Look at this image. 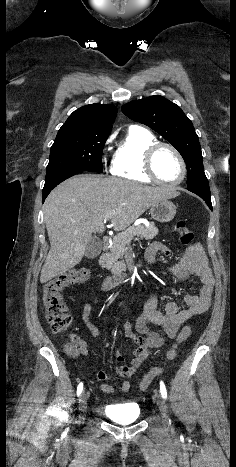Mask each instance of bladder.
<instances>
[{"label":"bladder","instance_id":"31cf9c89","mask_svg":"<svg viewBox=\"0 0 236 467\" xmlns=\"http://www.w3.org/2000/svg\"><path fill=\"white\" fill-rule=\"evenodd\" d=\"M105 413L119 423H131L141 416L139 405L132 402L109 405Z\"/></svg>","mask_w":236,"mask_h":467}]
</instances>
